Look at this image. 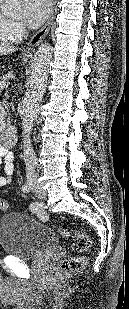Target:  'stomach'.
Returning a JSON list of instances; mask_svg holds the SVG:
<instances>
[{"mask_svg":"<svg viewBox=\"0 0 129 309\" xmlns=\"http://www.w3.org/2000/svg\"><path fill=\"white\" fill-rule=\"evenodd\" d=\"M27 59H28L27 57L24 58V60H27Z\"/></svg>","mask_w":129,"mask_h":309,"instance_id":"0dacf381","label":"stomach"}]
</instances>
